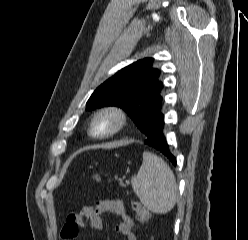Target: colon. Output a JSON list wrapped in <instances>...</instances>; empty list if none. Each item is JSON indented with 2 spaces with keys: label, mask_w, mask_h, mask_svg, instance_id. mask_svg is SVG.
I'll return each instance as SVG.
<instances>
[{
  "label": "colon",
  "mask_w": 248,
  "mask_h": 240,
  "mask_svg": "<svg viewBox=\"0 0 248 240\" xmlns=\"http://www.w3.org/2000/svg\"><path fill=\"white\" fill-rule=\"evenodd\" d=\"M95 180H101L102 176L97 174L94 176ZM132 209L136 214V218L140 224H144L148 221L150 214L149 211L138 201H132Z\"/></svg>",
  "instance_id": "5ec220e1"
}]
</instances>
